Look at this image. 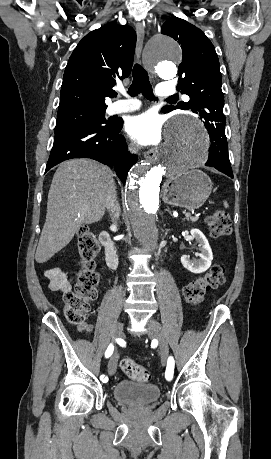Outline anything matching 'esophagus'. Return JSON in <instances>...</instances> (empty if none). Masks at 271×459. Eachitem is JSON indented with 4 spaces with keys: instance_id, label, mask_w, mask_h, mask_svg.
Returning <instances> with one entry per match:
<instances>
[{
    "instance_id": "esophagus-1",
    "label": "esophagus",
    "mask_w": 271,
    "mask_h": 459,
    "mask_svg": "<svg viewBox=\"0 0 271 459\" xmlns=\"http://www.w3.org/2000/svg\"><path fill=\"white\" fill-rule=\"evenodd\" d=\"M136 32H137V45H136V60L140 62L141 69H149L153 71V67L151 68L150 60H145V51L143 48V42L148 39L147 30L144 28L143 24L138 22L136 23ZM145 159L149 160L151 163L157 162V151L156 149L152 148L147 150L144 153Z\"/></svg>"
}]
</instances>
